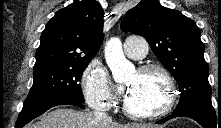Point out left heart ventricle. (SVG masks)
I'll return each instance as SVG.
<instances>
[{
	"instance_id": "left-heart-ventricle-1",
	"label": "left heart ventricle",
	"mask_w": 221,
	"mask_h": 128,
	"mask_svg": "<svg viewBox=\"0 0 221 128\" xmlns=\"http://www.w3.org/2000/svg\"><path fill=\"white\" fill-rule=\"evenodd\" d=\"M128 93L125 97L129 107L136 112L156 109L165 100V83L162 77L150 72L131 74L127 79Z\"/></svg>"
}]
</instances>
